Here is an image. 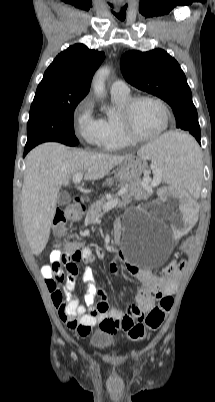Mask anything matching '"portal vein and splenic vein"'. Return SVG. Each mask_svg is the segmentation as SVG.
<instances>
[{"instance_id":"obj_1","label":"portal vein and splenic vein","mask_w":215,"mask_h":402,"mask_svg":"<svg viewBox=\"0 0 215 402\" xmlns=\"http://www.w3.org/2000/svg\"><path fill=\"white\" fill-rule=\"evenodd\" d=\"M158 176H159V178H160V177H161V174L159 173ZM82 177H83V173H81V172L75 174V175L73 176V182H74L75 184H79V183L81 182V180H82ZM158 184H159L158 178H157V179H154V180L152 181V185H153V186H156V185H158ZM123 193H124V190L122 189V191H120V194H123ZM118 202H119L118 199H114V200L110 201L109 203H107V204L104 206V210H105V211H108V210L114 208V207L118 204Z\"/></svg>"}]
</instances>
